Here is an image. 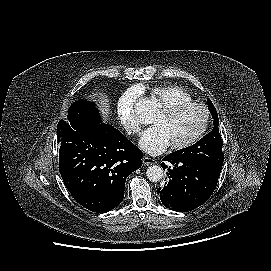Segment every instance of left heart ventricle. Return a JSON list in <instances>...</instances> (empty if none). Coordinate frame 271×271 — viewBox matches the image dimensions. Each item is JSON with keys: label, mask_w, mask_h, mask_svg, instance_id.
Returning <instances> with one entry per match:
<instances>
[{"label": "left heart ventricle", "mask_w": 271, "mask_h": 271, "mask_svg": "<svg viewBox=\"0 0 271 271\" xmlns=\"http://www.w3.org/2000/svg\"><path fill=\"white\" fill-rule=\"evenodd\" d=\"M152 123L163 129L170 145L179 144L199 131L204 123V112L196 107L187 108L174 116L158 112Z\"/></svg>", "instance_id": "1"}]
</instances>
